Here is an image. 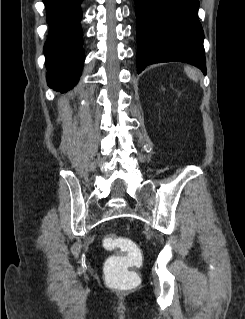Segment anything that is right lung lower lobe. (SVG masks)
Wrapping results in <instances>:
<instances>
[{"label": "right lung lower lobe", "mask_w": 245, "mask_h": 319, "mask_svg": "<svg viewBox=\"0 0 245 319\" xmlns=\"http://www.w3.org/2000/svg\"><path fill=\"white\" fill-rule=\"evenodd\" d=\"M49 35L44 46L47 83L62 93L72 89L81 76L84 62L80 27L82 0H43Z\"/></svg>", "instance_id": "98d812e1"}]
</instances>
